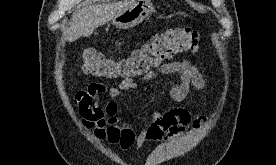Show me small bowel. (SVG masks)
I'll list each match as a JSON object with an SVG mask.
<instances>
[{
	"label": "small bowel",
	"instance_id": "small-bowel-1",
	"mask_svg": "<svg viewBox=\"0 0 276 165\" xmlns=\"http://www.w3.org/2000/svg\"><path fill=\"white\" fill-rule=\"evenodd\" d=\"M179 75V81L169 91L170 97L175 101L184 100L191 86L202 90L206 82L200 71L187 61H170L158 66L152 73L142 77L144 80L153 79L159 75ZM137 83L134 79H123L118 86L107 88L100 82H92L84 90L76 93L75 106L82 118L83 125L93 131L97 140L103 143L118 146L123 151L132 146L138 149L151 141L166 140L179 135L188 128L198 130L205 122V117L193 118L189 112L180 107L167 111H156L152 114L150 122L138 133L130 124H122L118 118V105L114 99L135 89ZM107 93L110 100L101 105V94Z\"/></svg>",
	"mask_w": 276,
	"mask_h": 165
}]
</instances>
